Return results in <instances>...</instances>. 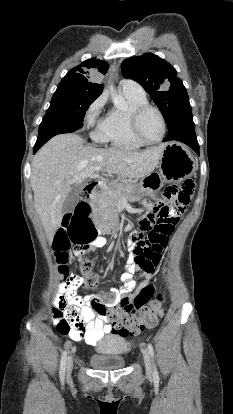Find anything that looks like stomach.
I'll use <instances>...</instances> for the list:
<instances>
[{
	"instance_id": "0dacf381",
	"label": "stomach",
	"mask_w": 233,
	"mask_h": 414,
	"mask_svg": "<svg viewBox=\"0 0 233 414\" xmlns=\"http://www.w3.org/2000/svg\"><path fill=\"white\" fill-rule=\"evenodd\" d=\"M195 169V162L191 154L184 148L174 144L168 143L165 145L160 162L159 170H153L148 172L143 177V182L140 185L131 183L127 188V199L130 201H136L139 198L150 195L152 192L150 188H160L158 176L161 175L172 182L182 181L189 177ZM157 192L156 190L154 191Z\"/></svg>"
}]
</instances>
